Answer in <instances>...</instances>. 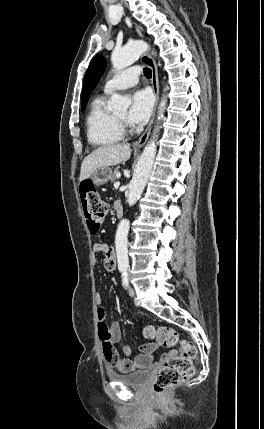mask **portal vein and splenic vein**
Masks as SVG:
<instances>
[{
    "instance_id": "1",
    "label": "portal vein and splenic vein",
    "mask_w": 264,
    "mask_h": 429,
    "mask_svg": "<svg viewBox=\"0 0 264 429\" xmlns=\"http://www.w3.org/2000/svg\"><path fill=\"white\" fill-rule=\"evenodd\" d=\"M119 186H120V182H118V181H117V182H115V183H114V187H115L116 189H117V188H119Z\"/></svg>"
}]
</instances>
